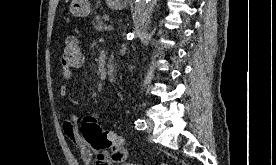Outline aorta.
I'll return each mask as SVG.
<instances>
[{"label": "aorta", "instance_id": "aorta-1", "mask_svg": "<svg viewBox=\"0 0 276 165\" xmlns=\"http://www.w3.org/2000/svg\"><path fill=\"white\" fill-rule=\"evenodd\" d=\"M158 0H135V11L141 30L149 28L153 9Z\"/></svg>", "mask_w": 276, "mask_h": 165}]
</instances>
